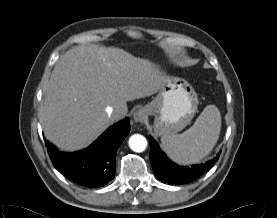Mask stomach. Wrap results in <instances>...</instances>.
Listing matches in <instances>:
<instances>
[{"mask_svg": "<svg viewBox=\"0 0 277 218\" xmlns=\"http://www.w3.org/2000/svg\"><path fill=\"white\" fill-rule=\"evenodd\" d=\"M198 96L193 87L179 77H166L157 96L146 109L155 116L156 135H173L190 124L198 108Z\"/></svg>", "mask_w": 277, "mask_h": 218, "instance_id": "obj_1", "label": "stomach"}]
</instances>
